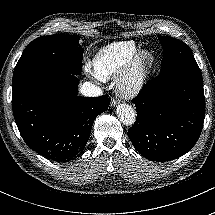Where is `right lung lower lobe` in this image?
I'll return each instance as SVG.
<instances>
[{"label": "right lung lower lobe", "mask_w": 215, "mask_h": 215, "mask_svg": "<svg viewBox=\"0 0 215 215\" xmlns=\"http://www.w3.org/2000/svg\"><path fill=\"white\" fill-rule=\"evenodd\" d=\"M75 74L37 70L13 79L12 109L25 143L59 162L76 158L85 148L95 118L110 98L78 96Z\"/></svg>", "instance_id": "98d812e1"}]
</instances>
